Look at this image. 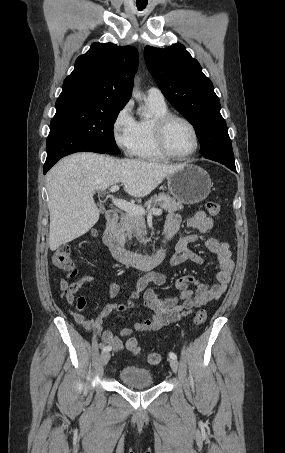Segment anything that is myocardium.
<instances>
[{"label":"myocardium","instance_id":"myocardium-1","mask_svg":"<svg viewBox=\"0 0 285 453\" xmlns=\"http://www.w3.org/2000/svg\"><path fill=\"white\" fill-rule=\"evenodd\" d=\"M173 121L185 123L192 131L194 137V148L187 154L179 155L171 151L167 142V131ZM153 131L156 145L160 152L167 158L174 160H185L192 157L199 149L200 139L195 125L186 117L181 115L166 113L154 119Z\"/></svg>","mask_w":285,"mask_h":453}]
</instances>
